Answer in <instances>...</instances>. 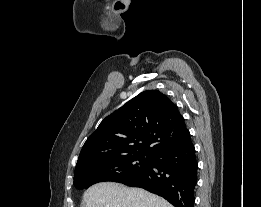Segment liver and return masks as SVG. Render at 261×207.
Returning <instances> with one entry per match:
<instances>
[{
    "label": "liver",
    "mask_w": 261,
    "mask_h": 207,
    "mask_svg": "<svg viewBox=\"0 0 261 207\" xmlns=\"http://www.w3.org/2000/svg\"><path fill=\"white\" fill-rule=\"evenodd\" d=\"M83 200L85 207H173L164 198L146 190L115 182L91 186L85 191Z\"/></svg>",
    "instance_id": "1"
}]
</instances>
